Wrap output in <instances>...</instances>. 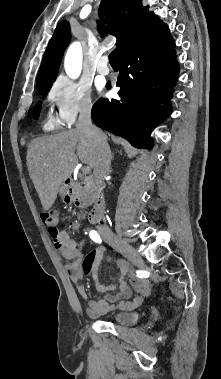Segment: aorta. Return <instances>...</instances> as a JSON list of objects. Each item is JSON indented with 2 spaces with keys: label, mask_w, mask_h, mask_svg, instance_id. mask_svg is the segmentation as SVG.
Instances as JSON below:
<instances>
[{
  "label": "aorta",
  "mask_w": 221,
  "mask_h": 379,
  "mask_svg": "<svg viewBox=\"0 0 221 379\" xmlns=\"http://www.w3.org/2000/svg\"><path fill=\"white\" fill-rule=\"evenodd\" d=\"M82 48L80 43L75 42L70 45L64 60V67L67 75L73 79L77 78L82 69Z\"/></svg>",
  "instance_id": "1"
}]
</instances>
